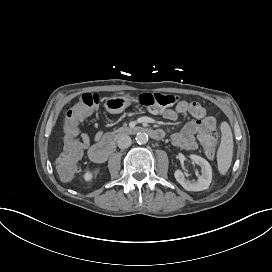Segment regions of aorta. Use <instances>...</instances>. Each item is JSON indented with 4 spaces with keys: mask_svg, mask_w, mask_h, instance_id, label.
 <instances>
[{
    "mask_svg": "<svg viewBox=\"0 0 272 272\" xmlns=\"http://www.w3.org/2000/svg\"><path fill=\"white\" fill-rule=\"evenodd\" d=\"M135 139L138 144H146L148 142V135L145 132H138Z\"/></svg>",
    "mask_w": 272,
    "mask_h": 272,
    "instance_id": "aorta-1",
    "label": "aorta"
}]
</instances>
